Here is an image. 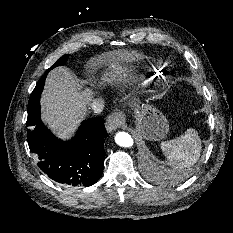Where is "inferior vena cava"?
Segmentation results:
<instances>
[{
    "mask_svg": "<svg viewBox=\"0 0 233 233\" xmlns=\"http://www.w3.org/2000/svg\"><path fill=\"white\" fill-rule=\"evenodd\" d=\"M91 109L94 113L99 114L104 109V103L101 99H95L91 102Z\"/></svg>",
    "mask_w": 233,
    "mask_h": 233,
    "instance_id": "602c4592",
    "label": "inferior vena cava"
}]
</instances>
